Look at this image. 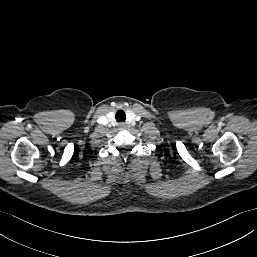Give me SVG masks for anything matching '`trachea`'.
Wrapping results in <instances>:
<instances>
[{
  "label": "trachea",
  "mask_w": 257,
  "mask_h": 257,
  "mask_svg": "<svg viewBox=\"0 0 257 257\" xmlns=\"http://www.w3.org/2000/svg\"><path fill=\"white\" fill-rule=\"evenodd\" d=\"M116 120L119 121H125V113L122 110L117 111L116 115H115Z\"/></svg>",
  "instance_id": "trachea-1"
}]
</instances>
